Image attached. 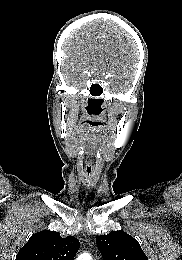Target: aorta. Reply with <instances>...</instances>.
<instances>
[{"label":"aorta","mask_w":182,"mask_h":260,"mask_svg":"<svg viewBox=\"0 0 182 260\" xmlns=\"http://www.w3.org/2000/svg\"><path fill=\"white\" fill-rule=\"evenodd\" d=\"M77 260H92L90 254L88 253H83L78 256Z\"/></svg>","instance_id":"762f6f07"}]
</instances>
